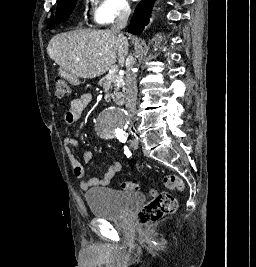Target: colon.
Segmentation results:
<instances>
[{
	"instance_id": "obj_1",
	"label": "colon",
	"mask_w": 256,
	"mask_h": 267,
	"mask_svg": "<svg viewBox=\"0 0 256 267\" xmlns=\"http://www.w3.org/2000/svg\"><path fill=\"white\" fill-rule=\"evenodd\" d=\"M55 92L58 97L68 96L70 94L71 85L69 81H65L64 77H55ZM164 182L167 188L182 192L184 190L183 181L172 174L164 176ZM122 188L126 191L137 192L138 184L136 182H123ZM157 188H151L152 195H156ZM167 195H159L160 197H153L150 202L145 204L137 213V223L141 228H151V223L160 220L162 217L173 214L178 207L176 198L166 193Z\"/></svg>"
}]
</instances>
